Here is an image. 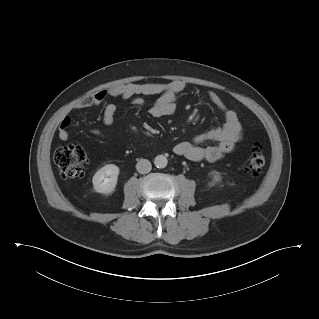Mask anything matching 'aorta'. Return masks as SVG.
<instances>
[{"instance_id":"1","label":"aorta","mask_w":319,"mask_h":319,"mask_svg":"<svg viewBox=\"0 0 319 319\" xmlns=\"http://www.w3.org/2000/svg\"><path fill=\"white\" fill-rule=\"evenodd\" d=\"M168 160L164 155H158L154 159V164L157 168H165L167 166Z\"/></svg>"}]
</instances>
